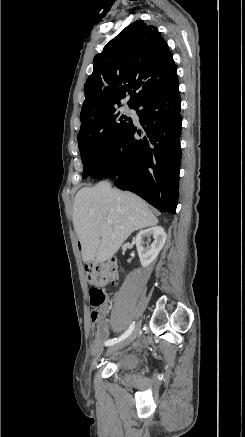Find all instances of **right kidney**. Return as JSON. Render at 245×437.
I'll return each mask as SVG.
<instances>
[{"label": "right kidney", "mask_w": 245, "mask_h": 437, "mask_svg": "<svg viewBox=\"0 0 245 437\" xmlns=\"http://www.w3.org/2000/svg\"><path fill=\"white\" fill-rule=\"evenodd\" d=\"M145 237L147 238L146 242L144 241ZM151 237H153L154 241L150 244ZM165 242L166 233L160 226L142 230L137 234L135 243L143 267L149 266L156 259Z\"/></svg>", "instance_id": "1"}]
</instances>
